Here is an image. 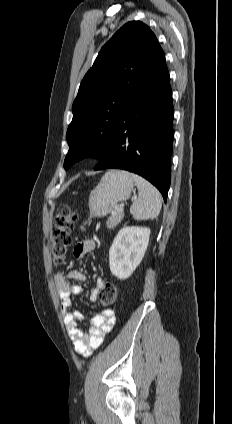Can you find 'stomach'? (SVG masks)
Instances as JSON below:
<instances>
[{"mask_svg":"<svg viewBox=\"0 0 232 424\" xmlns=\"http://www.w3.org/2000/svg\"><path fill=\"white\" fill-rule=\"evenodd\" d=\"M134 181L129 172L110 170L105 173L89 196L90 217L108 215L119 202L129 199Z\"/></svg>","mask_w":232,"mask_h":424,"instance_id":"stomach-1","label":"stomach"}]
</instances>
